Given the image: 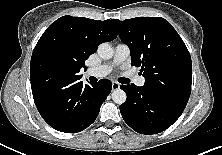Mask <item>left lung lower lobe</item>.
<instances>
[{"label":"left lung lower lobe","instance_id":"0a47b994","mask_svg":"<svg viewBox=\"0 0 222 155\" xmlns=\"http://www.w3.org/2000/svg\"><path fill=\"white\" fill-rule=\"evenodd\" d=\"M127 100L120 105L124 121L140 134H157L170 127L187 102L134 84L121 85Z\"/></svg>","mask_w":222,"mask_h":155}]
</instances>
